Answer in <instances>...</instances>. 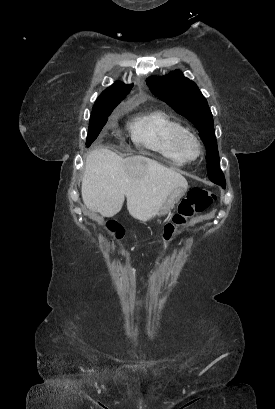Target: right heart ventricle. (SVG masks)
Returning <instances> with one entry per match:
<instances>
[{
  "instance_id": "e07e8e85",
  "label": "right heart ventricle",
  "mask_w": 275,
  "mask_h": 409,
  "mask_svg": "<svg viewBox=\"0 0 275 409\" xmlns=\"http://www.w3.org/2000/svg\"><path fill=\"white\" fill-rule=\"evenodd\" d=\"M133 142L161 157H177L174 140L185 127L163 111L138 117L129 125Z\"/></svg>"
}]
</instances>
